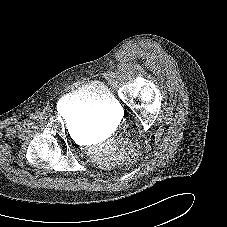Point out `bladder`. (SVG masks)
Listing matches in <instances>:
<instances>
[{
  "instance_id": "obj_1",
  "label": "bladder",
  "mask_w": 227,
  "mask_h": 227,
  "mask_svg": "<svg viewBox=\"0 0 227 227\" xmlns=\"http://www.w3.org/2000/svg\"><path fill=\"white\" fill-rule=\"evenodd\" d=\"M59 108L63 113L75 110L76 125L83 130H101L118 118L121 107L107 85L89 82L62 97Z\"/></svg>"
}]
</instances>
